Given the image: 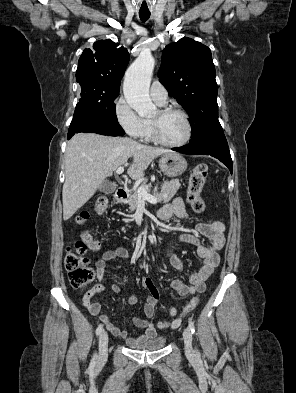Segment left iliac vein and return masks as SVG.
Segmentation results:
<instances>
[{
  "mask_svg": "<svg viewBox=\"0 0 296 393\" xmlns=\"http://www.w3.org/2000/svg\"><path fill=\"white\" fill-rule=\"evenodd\" d=\"M183 339H184L186 354L189 356L193 355L192 333H191L190 328H185V330L183 332Z\"/></svg>",
  "mask_w": 296,
  "mask_h": 393,
  "instance_id": "4c4485c4",
  "label": "left iliac vein"
}]
</instances>
